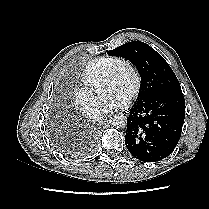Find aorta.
Instances as JSON below:
<instances>
[{
  "label": "aorta",
  "instance_id": "aorta-1",
  "mask_svg": "<svg viewBox=\"0 0 209 209\" xmlns=\"http://www.w3.org/2000/svg\"><path fill=\"white\" fill-rule=\"evenodd\" d=\"M111 125L123 128L127 123V118L123 114L115 115L110 120Z\"/></svg>",
  "mask_w": 209,
  "mask_h": 209
}]
</instances>
